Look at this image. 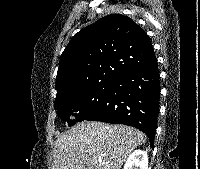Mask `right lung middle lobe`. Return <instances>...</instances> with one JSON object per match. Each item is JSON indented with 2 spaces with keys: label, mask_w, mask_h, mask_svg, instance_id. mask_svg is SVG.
I'll return each mask as SVG.
<instances>
[{
  "label": "right lung middle lobe",
  "mask_w": 200,
  "mask_h": 169,
  "mask_svg": "<svg viewBox=\"0 0 200 169\" xmlns=\"http://www.w3.org/2000/svg\"><path fill=\"white\" fill-rule=\"evenodd\" d=\"M116 79H103L92 83L75 94L55 100L54 107L59 117L69 126L85 120L105 101Z\"/></svg>",
  "instance_id": "1"
}]
</instances>
